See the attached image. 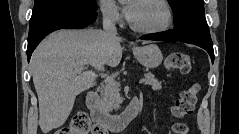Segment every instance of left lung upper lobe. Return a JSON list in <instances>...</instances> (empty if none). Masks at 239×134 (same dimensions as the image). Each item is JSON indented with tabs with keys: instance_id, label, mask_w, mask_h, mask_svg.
I'll use <instances>...</instances> for the list:
<instances>
[{
	"instance_id": "left-lung-upper-lobe-1",
	"label": "left lung upper lobe",
	"mask_w": 239,
	"mask_h": 134,
	"mask_svg": "<svg viewBox=\"0 0 239 134\" xmlns=\"http://www.w3.org/2000/svg\"><path fill=\"white\" fill-rule=\"evenodd\" d=\"M173 13L175 28L191 21H206L203 0H168Z\"/></svg>"
}]
</instances>
